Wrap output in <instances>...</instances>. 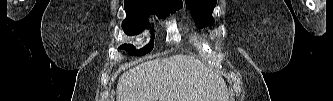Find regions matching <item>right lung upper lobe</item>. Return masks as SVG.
<instances>
[{"instance_id":"obj_1","label":"right lung upper lobe","mask_w":333,"mask_h":101,"mask_svg":"<svg viewBox=\"0 0 333 101\" xmlns=\"http://www.w3.org/2000/svg\"><path fill=\"white\" fill-rule=\"evenodd\" d=\"M155 1H162V2H168L173 4H182V0H155Z\"/></svg>"}]
</instances>
